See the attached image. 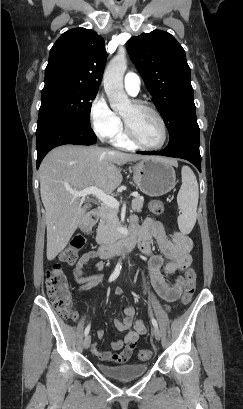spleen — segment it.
I'll return each mask as SVG.
<instances>
[{
    "label": "spleen",
    "instance_id": "1",
    "mask_svg": "<svg viewBox=\"0 0 243 409\" xmlns=\"http://www.w3.org/2000/svg\"><path fill=\"white\" fill-rule=\"evenodd\" d=\"M181 176L182 185L177 195L178 207L181 210L178 226L181 232L188 234L196 222L199 190L196 176L190 167L183 166Z\"/></svg>",
    "mask_w": 243,
    "mask_h": 409
}]
</instances>
